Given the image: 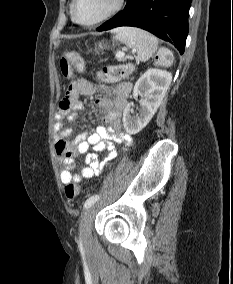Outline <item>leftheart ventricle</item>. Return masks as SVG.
Instances as JSON below:
<instances>
[{"mask_svg": "<svg viewBox=\"0 0 233 284\" xmlns=\"http://www.w3.org/2000/svg\"><path fill=\"white\" fill-rule=\"evenodd\" d=\"M114 0H78L75 14L81 22H92L104 15L113 5Z\"/></svg>", "mask_w": 233, "mask_h": 284, "instance_id": "1", "label": "left heart ventricle"}]
</instances>
